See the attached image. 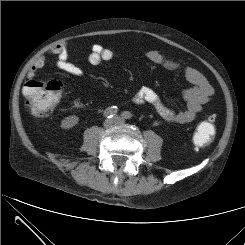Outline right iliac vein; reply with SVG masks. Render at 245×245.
Segmentation results:
<instances>
[{
    "label": "right iliac vein",
    "instance_id": "63e3f726",
    "mask_svg": "<svg viewBox=\"0 0 245 245\" xmlns=\"http://www.w3.org/2000/svg\"><path fill=\"white\" fill-rule=\"evenodd\" d=\"M118 123V120L116 117L112 118V119H107L105 120L104 122V127L105 128H109L111 126H113L114 124H117Z\"/></svg>",
    "mask_w": 245,
    "mask_h": 245
}]
</instances>
